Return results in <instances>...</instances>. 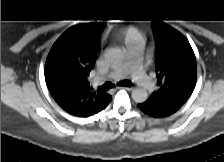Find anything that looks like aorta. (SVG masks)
<instances>
[{"label": "aorta", "mask_w": 224, "mask_h": 162, "mask_svg": "<svg viewBox=\"0 0 224 162\" xmlns=\"http://www.w3.org/2000/svg\"><path fill=\"white\" fill-rule=\"evenodd\" d=\"M124 53L120 49H113L106 54V59L111 65L119 64L123 59ZM132 99L136 103H144L148 99V93L143 88H135L132 90Z\"/></svg>", "instance_id": "obj_1"}]
</instances>
